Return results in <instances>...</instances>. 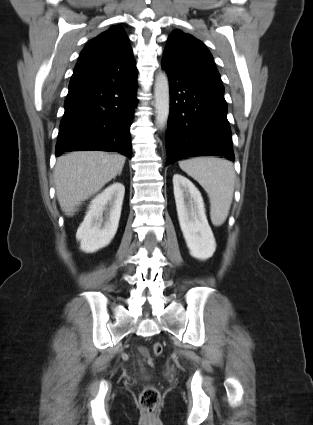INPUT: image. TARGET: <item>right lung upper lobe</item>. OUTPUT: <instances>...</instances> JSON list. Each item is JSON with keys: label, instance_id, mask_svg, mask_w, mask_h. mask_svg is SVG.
<instances>
[{"label": "right lung upper lobe", "instance_id": "right-lung-upper-lobe-1", "mask_svg": "<svg viewBox=\"0 0 313 425\" xmlns=\"http://www.w3.org/2000/svg\"><path fill=\"white\" fill-rule=\"evenodd\" d=\"M109 65L126 68L135 65L127 34L119 26H112L91 39L82 50L76 67Z\"/></svg>", "mask_w": 313, "mask_h": 425}]
</instances>
